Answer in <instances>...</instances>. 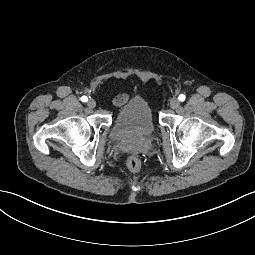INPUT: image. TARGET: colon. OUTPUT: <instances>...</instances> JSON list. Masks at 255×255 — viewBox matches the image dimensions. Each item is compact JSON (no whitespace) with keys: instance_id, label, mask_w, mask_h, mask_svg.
Segmentation results:
<instances>
[{"instance_id":"5ec220e1","label":"colon","mask_w":255,"mask_h":255,"mask_svg":"<svg viewBox=\"0 0 255 255\" xmlns=\"http://www.w3.org/2000/svg\"><path fill=\"white\" fill-rule=\"evenodd\" d=\"M127 166L131 172L136 173L140 170L141 163L137 157L132 156L128 159Z\"/></svg>"}]
</instances>
